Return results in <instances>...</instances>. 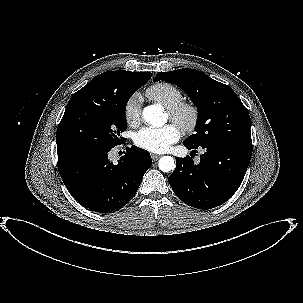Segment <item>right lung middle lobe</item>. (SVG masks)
<instances>
[{"instance_id":"1","label":"right lung middle lobe","mask_w":303,"mask_h":303,"mask_svg":"<svg viewBox=\"0 0 303 303\" xmlns=\"http://www.w3.org/2000/svg\"><path fill=\"white\" fill-rule=\"evenodd\" d=\"M148 79L125 84L117 93L98 95L76 92L66 107L56 132L57 151L103 149L121 144L127 128L126 104Z\"/></svg>"}]
</instances>
